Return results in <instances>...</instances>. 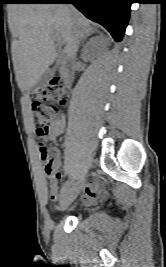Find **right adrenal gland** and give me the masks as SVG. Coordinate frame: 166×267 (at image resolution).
I'll use <instances>...</instances> for the list:
<instances>
[{"label":"right adrenal gland","mask_w":166,"mask_h":267,"mask_svg":"<svg viewBox=\"0 0 166 267\" xmlns=\"http://www.w3.org/2000/svg\"><path fill=\"white\" fill-rule=\"evenodd\" d=\"M95 32H97V31H96V30H95V31H92L90 34L87 35V37L90 36L92 33H95ZM87 37H85V39H86ZM85 39H84V40H85Z\"/></svg>","instance_id":"2a0ac1e0"}]
</instances>
